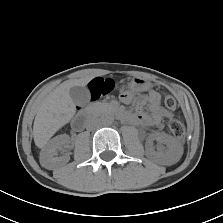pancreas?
Wrapping results in <instances>:
<instances>
[{"instance_id": "cf45deb5", "label": "pancreas", "mask_w": 223, "mask_h": 223, "mask_svg": "<svg viewBox=\"0 0 223 223\" xmlns=\"http://www.w3.org/2000/svg\"><path fill=\"white\" fill-rule=\"evenodd\" d=\"M108 107H109V104L104 103V102H97V103L93 104V109L95 111H99V112L107 109Z\"/></svg>"}]
</instances>
